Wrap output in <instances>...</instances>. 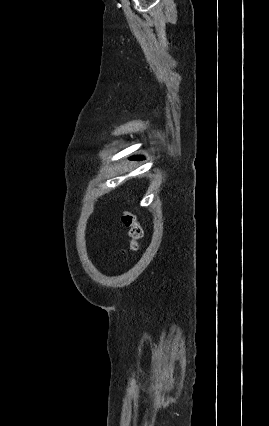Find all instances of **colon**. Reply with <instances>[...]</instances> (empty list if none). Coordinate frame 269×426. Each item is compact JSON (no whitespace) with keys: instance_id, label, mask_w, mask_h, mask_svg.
<instances>
[{"instance_id":"1","label":"colon","mask_w":269,"mask_h":426,"mask_svg":"<svg viewBox=\"0 0 269 426\" xmlns=\"http://www.w3.org/2000/svg\"><path fill=\"white\" fill-rule=\"evenodd\" d=\"M121 221L129 231V249L125 253V255L128 256L138 250L139 240L143 237V228L140 225L136 215L129 210H124L122 212Z\"/></svg>"}]
</instances>
